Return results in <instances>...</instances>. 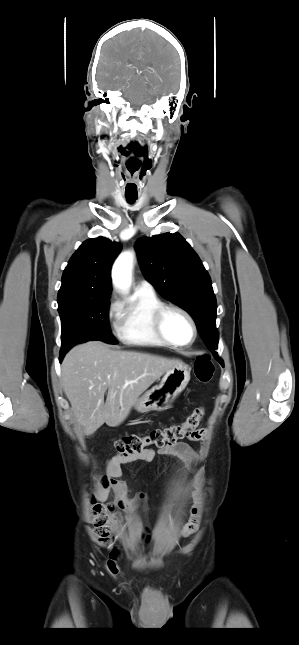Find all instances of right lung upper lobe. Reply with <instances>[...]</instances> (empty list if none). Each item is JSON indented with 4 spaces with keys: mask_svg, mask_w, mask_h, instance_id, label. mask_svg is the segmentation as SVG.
Masks as SVG:
<instances>
[{
    "mask_svg": "<svg viewBox=\"0 0 299 645\" xmlns=\"http://www.w3.org/2000/svg\"><path fill=\"white\" fill-rule=\"evenodd\" d=\"M121 247L120 242H112L104 237L83 242L63 272L58 304L73 298L110 295L111 266Z\"/></svg>",
    "mask_w": 299,
    "mask_h": 645,
    "instance_id": "cb5924a9",
    "label": "right lung upper lobe"
}]
</instances>
